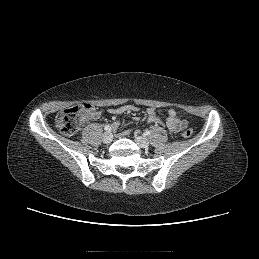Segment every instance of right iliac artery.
Wrapping results in <instances>:
<instances>
[{"instance_id": "obj_1", "label": "right iliac artery", "mask_w": 259, "mask_h": 259, "mask_svg": "<svg viewBox=\"0 0 259 259\" xmlns=\"http://www.w3.org/2000/svg\"><path fill=\"white\" fill-rule=\"evenodd\" d=\"M104 129H105L106 131H110V130H111V127H110L109 125H105Z\"/></svg>"}]
</instances>
